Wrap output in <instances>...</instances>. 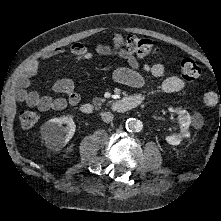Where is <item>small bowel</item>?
<instances>
[{
  "label": "small bowel",
  "instance_id": "c3829d8e",
  "mask_svg": "<svg viewBox=\"0 0 221 221\" xmlns=\"http://www.w3.org/2000/svg\"><path fill=\"white\" fill-rule=\"evenodd\" d=\"M66 53L71 54L76 60H89L94 56V52L91 51L87 45L78 42L71 44L68 49L56 48L45 52L40 59L29 62L19 74L16 81L18 98L24 101L27 105L35 107L40 111L62 110L66 108L68 104L71 106L78 105L81 96L76 91L75 82L71 78L58 79L54 81L51 86L54 92L66 94L67 98L42 96L36 91L27 90L30 79L37 72L41 61H47ZM95 53L98 55H110L113 51L108 47L98 45L95 49ZM118 54L128 63V67L118 68L113 73L114 80L120 84L132 88L143 86L145 79L140 74L139 70H142L155 78H161L165 75L166 70L161 63L141 64L138 59L130 53L119 51ZM184 87L185 82L180 77L169 76L164 79L161 85V91L163 93H176L183 90Z\"/></svg>",
  "mask_w": 221,
  "mask_h": 221
}]
</instances>
